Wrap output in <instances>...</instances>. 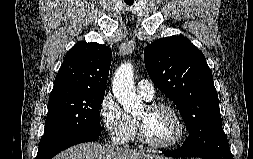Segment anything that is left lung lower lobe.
<instances>
[{
    "mask_svg": "<svg viewBox=\"0 0 253 159\" xmlns=\"http://www.w3.org/2000/svg\"><path fill=\"white\" fill-rule=\"evenodd\" d=\"M170 157H200L203 159H233L227 137L221 128H217L206 140L197 137L188 138L174 151L164 152Z\"/></svg>",
    "mask_w": 253,
    "mask_h": 159,
    "instance_id": "1",
    "label": "left lung lower lobe"
}]
</instances>
